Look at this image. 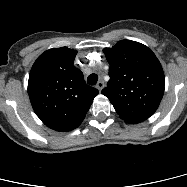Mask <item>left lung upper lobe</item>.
Returning a JSON list of instances; mask_svg holds the SVG:
<instances>
[{
    "label": "left lung upper lobe",
    "instance_id": "left-lung-upper-lobe-1",
    "mask_svg": "<svg viewBox=\"0 0 187 187\" xmlns=\"http://www.w3.org/2000/svg\"><path fill=\"white\" fill-rule=\"evenodd\" d=\"M103 52L110 64V80L102 94L125 122L147 120L157 110L164 93L159 60L147 46L131 40H121Z\"/></svg>",
    "mask_w": 187,
    "mask_h": 187
}]
</instances>
